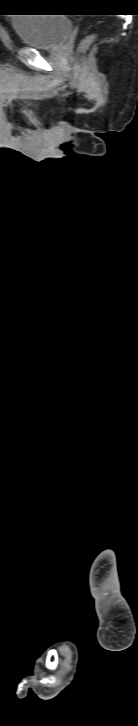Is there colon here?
<instances>
[{
	"label": "colon",
	"instance_id": "1",
	"mask_svg": "<svg viewBox=\"0 0 138 726\" xmlns=\"http://www.w3.org/2000/svg\"><path fill=\"white\" fill-rule=\"evenodd\" d=\"M93 39H94V35H90V36H87L86 38H84V39H83V40L81 41L80 45H79V50H80V51H83V50H84V49H85V48H86V47H87V46H88V45L90 44V42H91V41H92Z\"/></svg>",
	"mask_w": 138,
	"mask_h": 726
}]
</instances>
